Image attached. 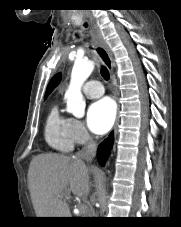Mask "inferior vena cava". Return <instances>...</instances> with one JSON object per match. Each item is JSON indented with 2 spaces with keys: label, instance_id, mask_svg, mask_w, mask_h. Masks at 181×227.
<instances>
[{
  "label": "inferior vena cava",
  "instance_id": "1",
  "mask_svg": "<svg viewBox=\"0 0 181 227\" xmlns=\"http://www.w3.org/2000/svg\"><path fill=\"white\" fill-rule=\"evenodd\" d=\"M97 144L92 137H89L88 143L77 153V157L87 162L92 161L96 155Z\"/></svg>",
  "mask_w": 181,
  "mask_h": 227
}]
</instances>
